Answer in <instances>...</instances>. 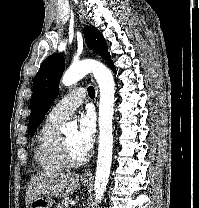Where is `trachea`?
<instances>
[{"label":"trachea","instance_id":"1","mask_svg":"<svg viewBox=\"0 0 199 208\" xmlns=\"http://www.w3.org/2000/svg\"><path fill=\"white\" fill-rule=\"evenodd\" d=\"M87 91H88L89 97H91V98H94L95 97V89H94L93 86H89L88 89H87Z\"/></svg>","mask_w":199,"mask_h":208}]
</instances>
